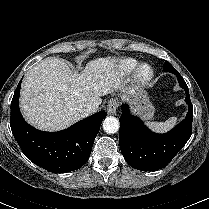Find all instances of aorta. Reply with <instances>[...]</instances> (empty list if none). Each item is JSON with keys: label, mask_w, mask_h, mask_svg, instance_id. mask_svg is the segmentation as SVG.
<instances>
[{"label": "aorta", "mask_w": 209, "mask_h": 209, "mask_svg": "<svg viewBox=\"0 0 209 209\" xmlns=\"http://www.w3.org/2000/svg\"><path fill=\"white\" fill-rule=\"evenodd\" d=\"M119 120L114 116H108L103 121V129L106 133L114 134L119 130Z\"/></svg>", "instance_id": "aorta-1"}]
</instances>
